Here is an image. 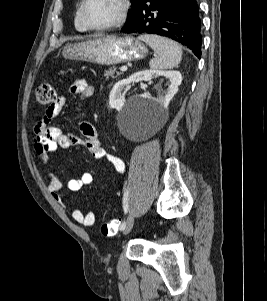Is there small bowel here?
Returning <instances> with one entry per match:
<instances>
[{
	"label": "small bowel",
	"mask_w": 267,
	"mask_h": 301,
	"mask_svg": "<svg viewBox=\"0 0 267 301\" xmlns=\"http://www.w3.org/2000/svg\"><path fill=\"white\" fill-rule=\"evenodd\" d=\"M94 91L93 85L83 78L76 79L70 86V93L79 96L81 100L90 98ZM66 102V96L58 97L36 123L34 127V150L37 158L42 163L47 164L49 158L59 149L84 146L95 159L107 161L118 174H123L125 163L121 158L109 153L102 147L98 132L93 124L88 121H81L79 123L81 136L65 134L59 127L52 125L53 119L61 112ZM47 175L49 177L48 191L58 203L63 204L60 196L61 181L50 169H47ZM92 182V174L83 172L80 176L69 179L67 188L70 191H79ZM72 218L75 222L87 227L95 223V215L92 212L84 213L79 209L72 211Z\"/></svg>",
	"instance_id": "small-bowel-1"
}]
</instances>
